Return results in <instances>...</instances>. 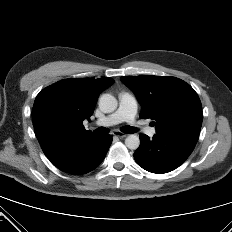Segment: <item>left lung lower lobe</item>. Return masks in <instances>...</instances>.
Listing matches in <instances>:
<instances>
[{
  "label": "left lung lower lobe",
  "instance_id": "left-lung-lower-lobe-1",
  "mask_svg": "<svg viewBox=\"0 0 232 232\" xmlns=\"http://www.w3.org/2000/svg\"><path fill=\"white\" fill-rule=\"evenodd\" d=\"M199 134L187 132L156 133L153 139L141 134L134 159L143 169L157 174L179 167L192 153Z\"/></svg>",
  "mask_w": 232,
  "mask_h": 232
}]
</instances>
